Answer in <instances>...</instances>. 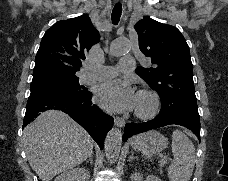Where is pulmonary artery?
I'll return each instance as SVG.
<instances>
[{
  "label": "pulmonary artery",
  "instance_id": "obj_1",
  "mask_svg": "<svg viewBox=\"0 0 228 181\" xmlns=\"http://www.w3.org/2000/svg\"><path fill=\"white\" fill-rule=\"evenodd\" d=\"M112 52V51H111ZM122 71H133V62L135 61L134 57H120ZM118 68V67H117ZM116 72V69L113 67H104L101 74H90L86 79H113V74Z\"/></svg>",
  "mask_w": 228,
  "mask_h": 181
}]
</instances>
